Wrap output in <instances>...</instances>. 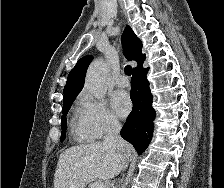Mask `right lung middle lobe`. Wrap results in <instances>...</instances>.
<instances>
[{"label": "right lung middle lobe", "mask_w": 224, "mask_h": 188, "mask_svg": "<svg viewBox=\"0 0 224 188\" xmlns=\"http://www.w3.org/2000/svg\"><path fill=\"white\" fill-rule=\"evenodd\" d=\"M77 95H74L66 100L63 101V109H62V117H61V127H62V132H61V141L64 140L65 138V133H66V128H67V120H66V115L74 101Z\"/></svg>", "instance_id": "right-lung-middle-lobe-1"}]
</instances>
